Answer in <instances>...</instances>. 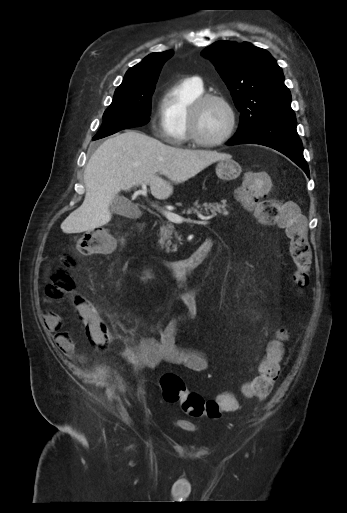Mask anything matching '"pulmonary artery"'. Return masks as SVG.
Here are the masks:
<instances>
[{
    "mask_svg": "<svg viewBox=\"0 0 347 513\" xmlns=\"http://www.w3.org/2000/svg\"><path fill=\"white\" fill-rule=\"evenodd\" d=\"M191 79H192L193 81H195L196 83H198V84L202 85V80H201V78H199V77L195 76V77H192Z\"/></svg>",
    "mask_w": 347,
    "mask_h": 513,
    "instance_id": "pulmonary-artery-1",
    "label": "pulmonary artery"
}]
</instances>
